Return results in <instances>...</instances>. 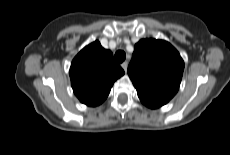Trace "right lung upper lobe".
<instances>
[{
	"label": "right lung upper lobe",
	"instance_id": "cb5924a9",
	"mask_svg": "<svg viewBox=\"0 0 230 155\" xmlns=\"http://www.w3.org/2000/svg\"><path fill=\"white\" fill-rule=\"evenodd\" d=\"M69 74L74 94L80 102L95 107L105 101L124 71L114 62L112 52L95 41L73 59Z\"/></svg>",
	"mask_w": 230,
	"mask_h": 155
}]
</instances>
